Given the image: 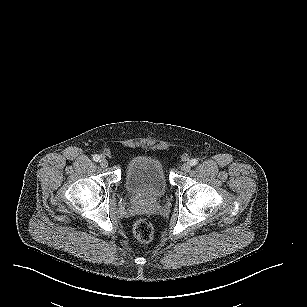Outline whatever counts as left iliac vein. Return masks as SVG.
Segmentation results:
<instances>
[{
	"mask_svg": "<svg viewBox=\"0 0 307 307\" xmlns=\"http://www.w3.org/2000/svg\"><path fill=\"white\" fill-rule=\"evenodd\" d=\"M191 169L190 163H183L181 166V170L184 172H188Z\"/></svg>",
	"mask_w": 307,
	"mask_h": 307,
	"instance_id": "4c4485c4",
	"label": "left iliac vein"
}]
</instances>
